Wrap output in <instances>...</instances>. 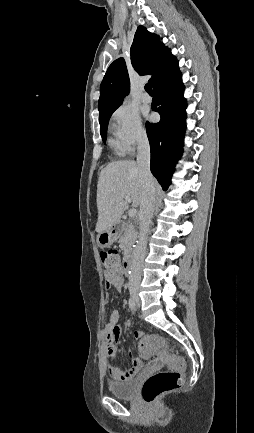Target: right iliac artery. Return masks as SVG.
Returning a JSON list of instances; mask_svg holds the SVG:
<instances>
[{
    "label": "right iliac artery",
    "instance_id": "82829eb1",
    "mask_svg": "<svg viewBox=\"0 0 254 433\" xmlns=\"http://www.w3.org/2000/svg\"><path fill=\"white\" fill-rule=\"evenodd\" d=\"M128 304H129V307H130L131 310H135V300H134V298L131 297L129 299Z\"/></svg>",
    "mask_w": 254,
    "mask_h": 433
}]
</instances>
